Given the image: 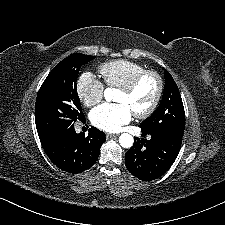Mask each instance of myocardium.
Instances as JSON below:
<instances>
[{
	"label": "myocardium",
	"instance_id": "1",
	"mask_svg": "<svg viewBox=\"0 0 225 225\" xmlns=\"http://www.w3.org/2000/svg\"><path fill=\"white\" fill-rule=\"evenodd\" d=\"M147 76H151L155 79L157 88L151 104L145 110L134 113V116L138 119H143L150 116L158 107L164 89L162 77L156 71L143 70L133 76L125 85L119 88V90L122 92L129 94L136 88L138 83Z\"/></svg>",
	"mask_w": 225,
	"mask_h": 225
}]
</instances>
